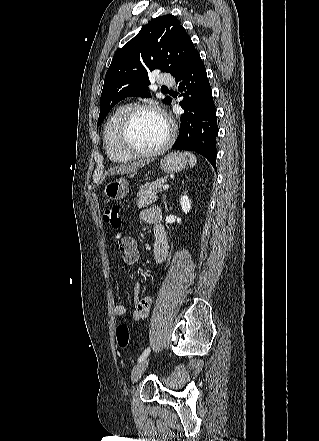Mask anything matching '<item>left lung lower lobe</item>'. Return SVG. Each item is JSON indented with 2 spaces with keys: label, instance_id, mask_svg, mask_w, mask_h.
I'll return each instance as SVG.
<instances>
[{
  "label": "left lung lower lobe",
  "instance_id": "0a47b994",
  "mask_svg": "<svg viewBox=\"0 0 319 441\" xmlns=\"http://www.w3.org/2000/svg\"><path fill=\"white\" fill-rule=\"evenodd\" d=\"M175 79L179 83V96L184 97L180 102L184 114L181 115L179 135L172 149L197 152L216 168V109L199 53Z\"/></svg>",
  "mask_w": 319,
  "mask_h": 441
}]
</instances>
